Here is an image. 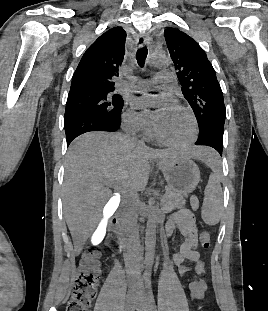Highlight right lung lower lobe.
Here are the masks:
<instances>
[{"label": "right lung lower lobe", "instance_id": "98d812e1", "mask_svg": "<svg viewBox=\"0 0 268 311\" xmlns=\"http://www.w3.org/2000/svg\"><path fill=\"white\" fill-rule=\"evenodd\" d=\"M121 124V116L115 120L80 114L64 123L67 146L77 136L90 131H116Z\"/></svg>", "mask_w": 268, "mask_h": 311}]
</instances>
